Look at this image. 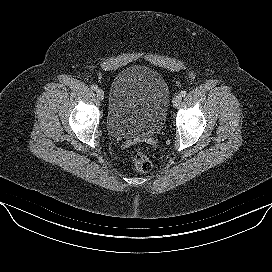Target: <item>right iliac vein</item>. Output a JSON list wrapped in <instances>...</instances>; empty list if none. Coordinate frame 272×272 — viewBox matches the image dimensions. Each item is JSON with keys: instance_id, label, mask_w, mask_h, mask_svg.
<instances>
[{"instance_id": "obj_1", "label": "right iliac vein", "mask_w": 272, "mask_h": 272, "mask_svg": "<svg viewBox=\"0 0 272 272\" xmlns=\"http://www.w3.org/2000/svg\"><path fill=\"white\" fill-rule=\"evenodd\" d=\"M96 95L100 100H103L104 96H105V93H104V91L102 89H97L96 90Z\"/></svg>"}]
</instances>
